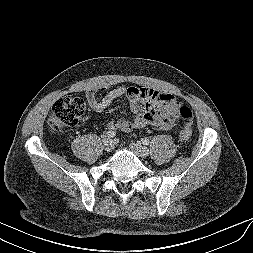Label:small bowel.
I'll use <instances>...</instances> for the list:
<instances>
[{"label": "small bowel", "instance_id": "1", "mask_svg": "<svg viewBox=\"0 0 253 253\" xmlns=\"http://www.w3.org/2000/svg\"><path fill=\"white\" fill-rule=\"evenodd\" d=\"M128 98L134 114L132 119H112L108 122L110 131H132L145 126L157 130H169L177 118H181L183 108L176 96L155 89L139 87H118L102 97L96 89L86 92V99L92 110L101 112L122 98ZM182 120V118H181Z\"/></svg>", "mask_w": 253, "mask_h": 253}]
</instances>
